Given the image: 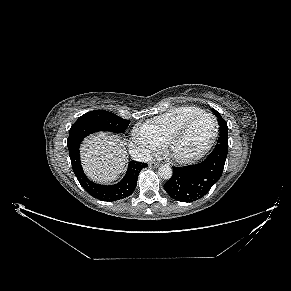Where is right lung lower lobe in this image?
<instances>
[{
    "mask_svg": "<svg viewBox=\"0 0 291 291\" xmlns=\"http://www.w3.org/2000/svg\"><path fill=\"white\" fill-rule=\"evenodd\" d=\"M98 131L101 130L91 124L72 125L67 140L72 169L79 183L91 196L104 201H116L126 198L133 193L137 184L138 175L147 164L134 160L130 161L126 175L120 182L114 185H100L89 180L80 164L79 147L86 136Z\"/></svg>",
    "mask_w": 291,
    "mask_h": 291,
    "instance_id": "1",
    "label": "right lung lower lobe"
}]
</instances>
